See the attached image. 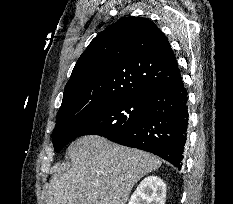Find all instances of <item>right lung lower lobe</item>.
I'll return each mask as SVG.
<instances>
[{
	"mask_svg": "<svg viewBox=\"0 0 233 204\" xmlns=\"http://www.w3.org/2000/svg\"><path fill=\"white\" fill-rule=\"evenodd\" d=\"M179 68L148 95L147 118L109 140L142 149L182 166L187 141L188 96Z\"/></svg>",
	"mask_w": 233,
	"mask_h": 204,
	"instance_id": "obj_1",
	"label": "right lung lower lobe"
}]
</instances>
